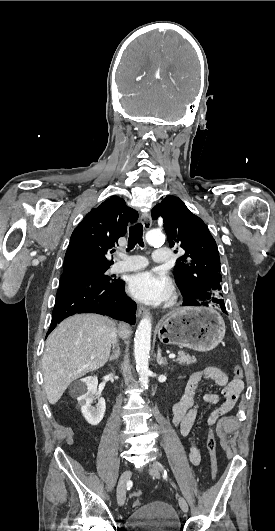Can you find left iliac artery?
Returning a JSON list of instances; mask_svg holds the SVG:
<instances>
[{
    "mask_svg": "<svg viewBox=\"0 0 275 531\" xmlns=\"http://www.w3.org/2000/svg\"><path fill=\"white\" fill-rule=\"evenodd\" d=\"M163 477H167V472H166V470H164V472H163Z\"/></svg>",
    "mask_w": 275,
    "mask_h": 531,
    "instance_id": "obj_1",
    "label": "left iliac artery"
}]
</instances>
